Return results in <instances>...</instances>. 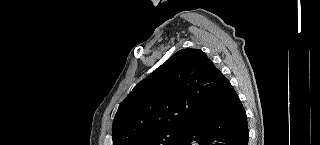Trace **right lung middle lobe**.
I'll return each mask as SVG.
<instances>
[{
  "label": "right lung middle lobe",
  "mask_w": 320,
  "mask_h": 145,
  "mask_svg": "<svg viewBox=\"0 0 320 145\" xmlns=\"http://www.w3.org/2000/svg\"><path fill=\"white\" fill-rule=\"evenodd\" d=\"M185 128H168L150 133L130 145H173L184 133Z\"/></svg>",
  "instance_id": "1"
}]
</instances>
